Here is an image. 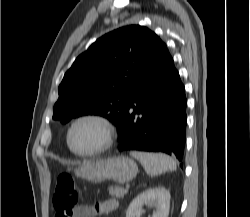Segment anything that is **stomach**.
Listing matches in <instances>:
<instances>
[{
  "label": "stomach",
  "mask_w": 250,
  "mask_h": 217,
  "mask_svg": "<svg viewBox=\"0 0 250 217\" xmlns=\"http://www.w3.org/2000/svg\"><path fill=\"white\" fill-rule=\"evenodd\" d=\"M137 173L138 167L135 161L124 156L84 162L76 169L78 176L93 183L113 180L124 184L135 178Z\"/></svg>",
  "instance_id": "stomach-1"
}]
</instances>
